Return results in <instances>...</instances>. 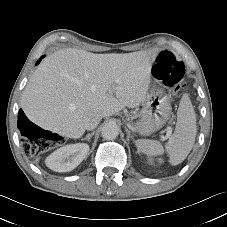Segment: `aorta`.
I'll use <instances>...</instances> for the list:
<instances>
[{
	"label": "aorta",
	"mask_w": 227,
	"mask_h": 227,
	"mask_svg": "<svg viewBox=\"0 0 227 227\" xmlns=\"http://www.w3.org/2000/svg\"><path fill=\"white\" fill-rule=\"evenodd\" d=\"M119 127L115 123H106L101 130V135L106 140H113L119 135Z\"/></svg>",
	"instance_id": "aorta-1"
}]
</instances>
